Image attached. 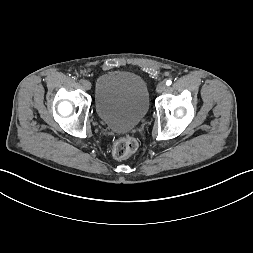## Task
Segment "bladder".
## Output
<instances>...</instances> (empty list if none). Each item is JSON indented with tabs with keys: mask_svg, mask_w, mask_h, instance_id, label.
Instances as JSON below:
<instances>
[{
	"mask_svg": "<svg viewBox=\"0 0 253 253\" xmlns=\"http://www.w3.org/2000/svg\"><path fill=\"white\" fill-rule=\"evenodd\" d=\"M95 108L109 128L128 132L138 126L149 109V92L136 73L116 71L101 75L95 86Z\"/></svg>",
	"mask_w": 253,
	"mask_h": 253,
	"instance_id": "31cf9c89",
	"label": "bladder"
}]
</instances>
